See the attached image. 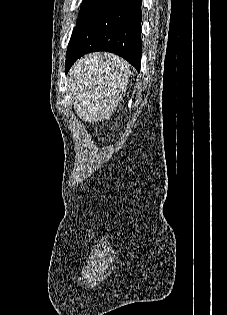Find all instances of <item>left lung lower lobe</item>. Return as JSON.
Here are the masks:
<instances>
[{
  "instance_id": "1",
  "label": "left lung lower lobe",
  "mask_w": 227,
  "mask_h": 315,
  "mask_svg": "<svg viewBox=\"0 0 227 315\" xmlns=\"http://www.w3.org/2000/svg\"><path fill=\"white\" fill-rule=\"evenodd\" d=\"M142 0H97L77 22L66 55L65 72L83 55L112 52L140 71Z\"/></svg>"
}]
</instances>
